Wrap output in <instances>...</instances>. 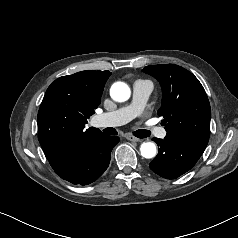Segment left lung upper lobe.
<instances>
[{"mask_svg": "<svg viewBox=\"0 0 238 238\" xmlns=\"http://www.w3.org/2000/svg\"><path fill=\"white\" fill-rule=\"evenodd\" d=\"M143 71L155 77L162 87V106L158 115L164 118L162 124L167 134L207 145L211 109L199 80L174 64L151 65Z\"/></svg>", "mask_w": 238, "mask_h": 238, "instance_id": "left-lung-upper-lobe-1", "label": "left lung upper lobe"}]
</instances>
